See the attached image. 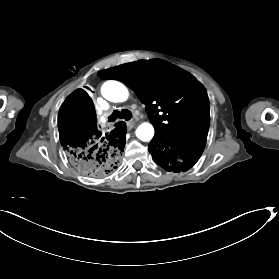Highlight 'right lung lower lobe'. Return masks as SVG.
I'll use <instances>...</instances> for the list:
<instances>
[{
    "label": "right lung lower lobe",
    "instance_id": "98d812e1",
    "mask_svg": "<svg viewBox=\"0 0 279 279\" xmlns=\"http://www.w3.org/2000/svg\"><path fill=\"white\" fill-rule=\"evenodd\" d=\"M96 121L91 98L78 89L60 107L58 130L71 166L83 174L103 177L118 167L125 147V129L123 123H116L114 130L102 133Z\"/></svg>",
    "mask_w": 279,
    "mask_h": 279
}]
</instances>
